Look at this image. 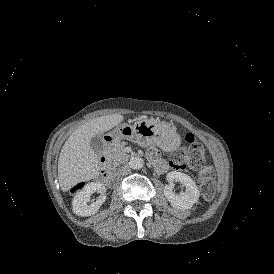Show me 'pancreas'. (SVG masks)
<instances>
[{"label": "pancreas", "mask_w": 274, "mask_h": 274, "mask_svg": "<svg viewBox=\"0 0 274 274\" xmlns=\"http://www.w3.org/2000/svg\"><path fill=\"white\" fill-rule=\"evenodd\" d=\"M103 155L107 162H110L114 168H117L121 164H125L129 155L124 151V143H115L113 147H106L103 151Z\"/></svg>", "instance_id": "obj_1"}]
</instances>
